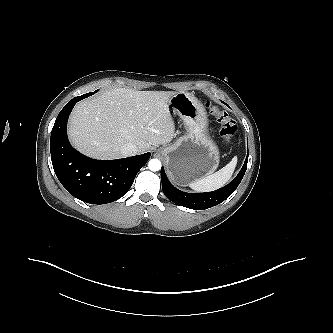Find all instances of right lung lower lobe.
<instances>
[{
	"mask_svg": "<svg viewBox=\"0 0 333 333\" xmlns=\"http://www.w3.org/2000/svg\"><path fill=\"white\" fill-rule=\"evenodd\" d=\"M73 98L59 113L50 138L55 174L74 197L91 204H106L120 199L130 189L135 176L150 158V152L117 160H95L76 151L67 138V120Z\"/></svg>",
	"mask_w": 333,
	"mask_h": 333,
	"instance_id": "1",
	"label": "right lung lower lobe"
}]
</instances>
